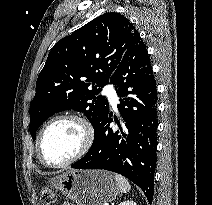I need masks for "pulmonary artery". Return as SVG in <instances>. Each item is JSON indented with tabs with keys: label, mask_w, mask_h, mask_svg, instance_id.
Returning <instances> with one entry per match:
<instances>
[{
	"label": "pulmonary artery",
	"mask_w": 212,
	"mask_h": 205,
	"mask_svg": "<svg viewBox=\"0 0 212 205\" xmlns=\"http://www.w3.org/2000/svg\"><path fill=\"white\" fill-rule=\"evenodd\" d=\"M104 94L109 98L110 102L113 105H116L118 102V97L116 94L115 89L113 88L112 85H106L103 89Z\"/></svg>",
	"instance_id": "pulmonary-artery-1"
}]
</instances>
